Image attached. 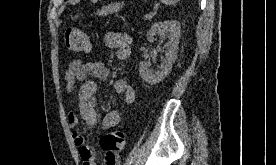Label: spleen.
<instances>
[{
    "instance_id": "spleen-1",
    "label": "spleen",
    "mask_w": 276,
    "mask_h": 165,
    "mask_svg": "<svg viewBox=\"0 0 276 165\" xmlns=\"http://www.w3.org/2000/svg\"><path fill=\"white\" fill-rule=\"evenodd\" d=\"M179 0H161L162 3L166 4V5H172L176 2H178Z\"/></svg>"
}]
</instances>
